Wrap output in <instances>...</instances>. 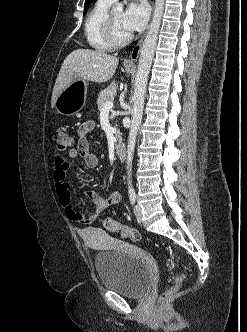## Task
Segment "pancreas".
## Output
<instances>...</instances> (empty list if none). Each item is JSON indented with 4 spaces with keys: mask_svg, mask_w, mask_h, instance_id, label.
Segmentation results:
<instances>
[{
    "mask_svg": "<svg viewBox=\"0 0 247 332\" xmlns=\"http://www.w3.org/2000/svg\"><path fill=\"white\" fill-rule=\"evenodd\" d=\"M116 89L115 87H111V88H107L104 89L103 91H101L98 95V99H97V105H98V110L101 111L104 104L107 101H113L115 96H116ZM117 139L120 138V134L117 133L116 134Z\"/></svg>",
    "mask_w": 247,
    "mask_h": 332,
    "instance_id": "1",
    "label": "pancreas"
}]
</instances>
